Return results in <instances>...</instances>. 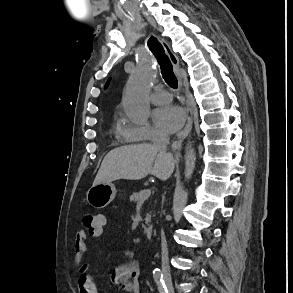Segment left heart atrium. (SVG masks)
I'll return each mask as SVG.
<instances>
[{"label":"left heart atrium","mask_w":293,"mask_h":293,"mask_svg":"<svg viewBox=\"0 0 293 293\" xmlns=\"http://www.w3.org/2000/svg\"><path fill=\"white\" fill-rule=\"evenodd\" d=\"M153 120L161 131L173 133L182 126L185 113L179 106L166 105L154 111Z\"/></svg>","instance_id":"1"}]
</instances>
